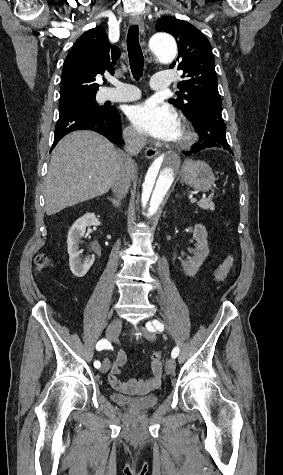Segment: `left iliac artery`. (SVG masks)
<instances>
[{
    "mask_svg": "<svg viewBox=\"0 0 283 475\" xmlns=\"http://www.w3.org/2000/svg\"><path fill=\"white\" fill-rule=\"evenodd\" d=\"M152 324L154 325L155 329H157L159 331L164 330V325L162 323H160L158 320H153ZM152 324L150 322H148L146 324L147 329L150 330V331H154V328H153ZM178 354H179V348L175 347L172 350L171 356H172V358H176L178 356Z\"/></svg>",
    "mask_w": 283,
    "mask_h": 475,
    "instance_id": "left-iliac-artery-1",
    "label": "left iliac artery"
}]
</instances>
